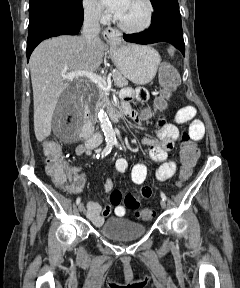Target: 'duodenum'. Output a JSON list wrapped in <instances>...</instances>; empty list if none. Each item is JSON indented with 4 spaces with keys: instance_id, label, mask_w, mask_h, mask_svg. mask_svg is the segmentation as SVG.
<instances>
[{
    "instance_id": "410a0bca",
    "label": "duodenum",
    "mask_w": 240,
    "mask_h": 288,
    "mask_svg": "<svg viewBox=\"0 0 240 288\" xmlns=\"http://www.w3.org/2000/svg\"><path fill=\"white\" fill-rule=\"evenodd\" d=\"M108 114L112 120H118L120 117V111L116 106H111L108 110ZM84 119H85V125H84V143L87 144L90 148H95L99 145L101 141V135L100 133H94V117L92 116L90 110L88 108H85L84 110Z\"/></svg>"
}]
</instances>
